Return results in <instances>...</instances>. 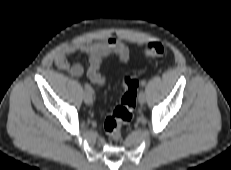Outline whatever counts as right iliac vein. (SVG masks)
Listing matches in <instances>:
<instances>
[{"instance_id":"obj_1","label":"right iliac vein","mask_w":231,"mask_h":170,"mask_svg":"<svg viewBox=\"0 0 231 170\" xmlns=\"http://www.w3.org/2000/svg\"><path fill=\"white\" fill-rule=\"evenodd\" d=\"M84 101L86 104L91 105L93 104V94L90 92H85L84 93Z\"/></svg>"}]
</instances>
